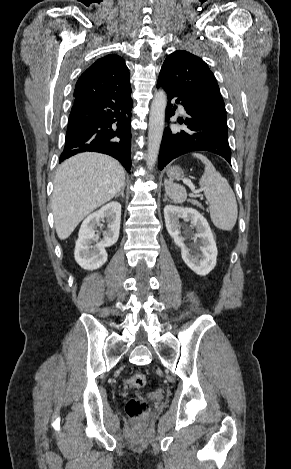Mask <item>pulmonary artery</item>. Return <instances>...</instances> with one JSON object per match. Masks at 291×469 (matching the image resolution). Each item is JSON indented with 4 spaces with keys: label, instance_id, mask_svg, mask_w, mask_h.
<instances>
[{
    "label": "pulmonary artery",
    "instance_id": "e3ab8cb5",
    "mask_svg": "<svg viewBox=\"0 0 291 469\" xmlns=\"http://www.w3.org/2000/svg\"><path fill=\"white\" fill-rule=\"evenodd\" d=\"M179 108H180L181 111H184L183 106L180 105Z\"/></svg>",
    "mask_w": 291,
    "mask_h": 469
}]
</instances>
